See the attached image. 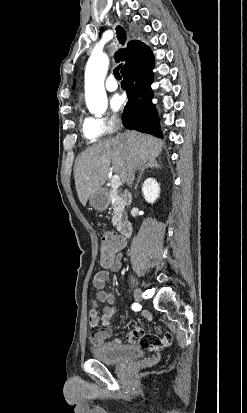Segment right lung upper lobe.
<instances>
[{"mask_svg":"<svg viewBox=\"0 0 247 413\" xmlns=\"http://www.w3.org/2000/svg\"><path fill=\"white\" fill-rule=\"evenodd\" d=\"M116 62L125 61L121 70L123 77L133 76L145 72L154 65V56L151 49L141 41L133 40L128 43L125 51L119 50L115 54Z\"/></svg>","mask_w":247,"mask_h":413,"instance_id":"cb5924a9","label":"right lung upper lobe"}]
</instances>
